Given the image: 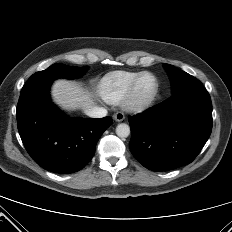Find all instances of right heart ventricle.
<instances>
[{"mask_svg":"<svg viewBox=\"0 0 232 232\" xmlns=\"http://www.w3.org/2000/svg\"><path fill=\"white\" fill-rule=\"evenodd\" d=\"M142 72L114 71L105 75L99 84V93L110 104L123 102L132 83Z\"/></svg>","mask_w":232,"mask_h":232,"instance_id":"e07e8e85","label":"right heart ventricle"}]
</instances>
